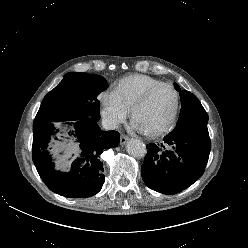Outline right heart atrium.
Instances as JSON below:
<instances>
[{"instance_id":"d8ad5b80","label":"right heart atrium","mask_w":248,"mask_h":248,"mask_svg":"<svg viewBox=\"0 0 248 248\" xmlns=\"http://www.w3.org/2000/svg\"><path fill=\"white\" fill-rule=\"evenodd\" d=\"M101 113L108 124L117 127L123 124L129 112L117 101L112 92H104L100 95Z\"/></svg>"}]
</instances>
